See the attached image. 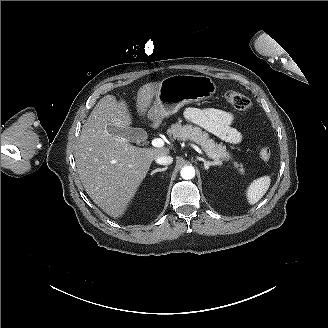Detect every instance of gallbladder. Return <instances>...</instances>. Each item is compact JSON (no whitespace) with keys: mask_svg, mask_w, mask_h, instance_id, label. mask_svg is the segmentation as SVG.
I'll list each match as a JSON object with an SVG mask.
<instances>
[{"mask_svg":"<svg viewBox=\"0 0 328 328\" xmlns=\"http://www.w3.org/2000/svg\"><path fill=\"white\" fill-rule=\"evenodd\" d=\"M106 131L112 136L125 138L130 142H143L146 141L148 135L143 128L137 127H116L107 125Z\"/></svg>","mask_w":328,"mask_h":328,"instance_id":"gallbladder-1","label":"gallbladder"}]
</instances>
